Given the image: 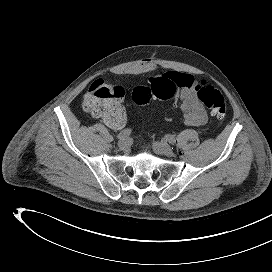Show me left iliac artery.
<instances>
[{"mask_svg":"<svg viewBox=\"0 0 272 272\" xmlns=\"http://www.w3.org/2000/svg\"><path fill=\"white\" fill-rule=\"evenodd\" d=\"M164 138L171 144L176 142L175 137L171 134H166Z\"/></svg>","mask_w":272,"mask_h":272,"instance_id":"obj_1","label":"left iliac artery"}]
</instances>
